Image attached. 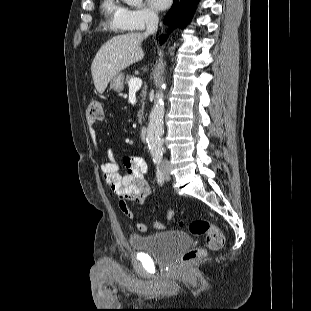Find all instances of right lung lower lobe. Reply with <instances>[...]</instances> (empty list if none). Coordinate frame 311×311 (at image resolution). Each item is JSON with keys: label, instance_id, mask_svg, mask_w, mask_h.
<instances>
[{"label": "right lung lower lobe", "instance_id": "right-lung-lower-lobe-1", "mask_svg": "<svg viewBox=\"0 0 311 311\" xmlns=\"http://www.w3.org/2000/svg\"><path fill=\"white\" fill-rule=\"evenodd\" d=\"M199 0H174V3L165 17V23L171 24L172 29L184 27L190 20ZM167 37L160 38L163 43Z\"/></svg>", "mask_w": 311, "mask_h": 311}]
</instances>
